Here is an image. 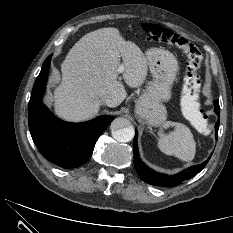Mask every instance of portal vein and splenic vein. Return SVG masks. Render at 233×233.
Here are the masks:
<instances>
[{
    "mask_svg": "<svg viewBox=\"0 0 233 233\" xmlns=\"http://www.w3.org/2000/svg\"><path fill=\"white\" fill-rule=\"evenodd\" d=\"M117 71H118V73H123L124 72V65L120 64Z\"/></svg>",
    "mask_w": 233,
    "mask_h": 233,
    "instance_id": "obj_1",
    "label": "portal vein and splenic vein"
}]
</instances>
